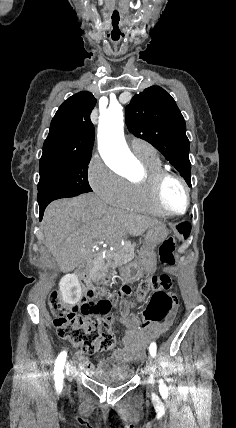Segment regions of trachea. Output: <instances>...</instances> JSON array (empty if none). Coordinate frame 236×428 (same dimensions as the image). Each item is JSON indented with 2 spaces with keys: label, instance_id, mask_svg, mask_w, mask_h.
<instances>
[{
  "label": "trachea",
  "instance_id": "obj_1",
  "mask_svg": "<svg viewBox=\"0 0 236 428\" xmlns=\"http://www.w3.org/2000/svg\"><path fill=\"white\" fill-rule=\"evenodd\" d=\"M122 25V15L120 13H113L111 15V24H110V29H111V34L113 35V41L112 44L116 45L117 41L122 39V33L123 30L121 28Z\"/></svg>",
  "mask_w": 236,
  "mask_h": 428
}]
</instances>
